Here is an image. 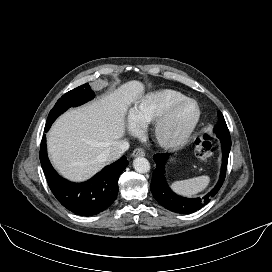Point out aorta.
Instances as JSON below:
<instances>
[{
    "instance_id": "1",
    "label": "aorta",
    "mask_w": 272,
    "mask_h": 272,
    "mask_svg": "<svg viewBox=\"0 0 272 272\" xmlns=\"http://www.w3.org/2000/svg\"><path fill=\"white\" fill-rule=\"evenodd\" d=\"M133 167L138 173H147L150 171V163L144 157H138L133 161Z\"/></svg>"
}]
</instances>
